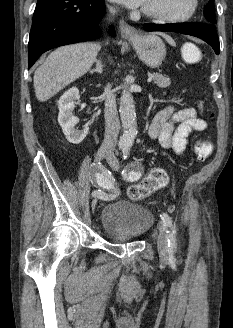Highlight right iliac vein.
Instances as JSON below:
<instances>
[{
    "label": "right iliac vein",
    "mask_w": 233,
    "mask_h": 328,
    "mask_svg": "<svg viewBox=\"0 0 233 328\" xmlns=\"http://www.w3.org/2000/svg\"><path fill=\"white\" fill-rule=\"evenodd\" d=\"M108 153H109V150H108L106 147H101V148L97 151V153H96V155H95V161H96L97 163H100V162L104 159V157L107 156ZM96 205H97V200L94 199V200L92 201V204H91L92 211L95 210Z\"/></svg>",
    "instance_id": "obj_1"
}]
</instances>
